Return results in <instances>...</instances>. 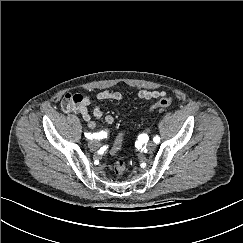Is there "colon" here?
Segmentation results:
<instances>
[{
  "mask_svg": "<svg viewBox=\"0 0 243 243\" xmlns=\"http://www.w3.org/2000/svg\"><path fill=\"white\" fill-rule=\"evenodd\" d=\"M84 97L80 94H66L62 100V108L66 112H72L77 109V107L82 103ZM174 102L173 97L171 96H164L161 99H159L156 103H154L151 107L150 110L154 111L155 109L158 108H164L172 105ZM123 143V135L120 134L116 140L113 143V146L111 148V153L112 155H117L121 149ZM126 160L123 157H117V159L114 162V172L117 175H121L125 172L126 170Z\"/></svg>",
  "mask_w": 243,
  "mask_h": 243,
  "instance_id": "1",
  "label": "colon"
}]
</instances>
